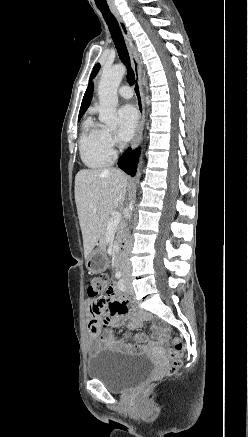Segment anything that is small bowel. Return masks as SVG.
<instances>
[{
	"mask_svg": "<svg viewBox=\"0 0 248 437\" xmlns=\"http://www.w3.org/2000/svg\"><path fill=\"white\" fill-rule=\"evenodd\" d=\"M130 300L126 296H120L116 288L110 287L106 295L89 294L86 305L89 308L88 318V352L96 354L100 349H115L125 352H140L156 350L164 342L163 329L155 323L156 340H149L145 335L135 336V343L126 342L118 338L112 331L102 333V326L118 325L128 312ZM132 326H136L133 323Z\"/></svg>",
	"mask_w": 248,
	"mask_h": 437,
	"instance_id": "1",
	"label": "small bowel"
}]
</instances>
